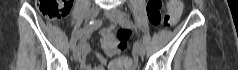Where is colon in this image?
Here are the masks:
<instances>
[{"label":"colon","instance_id":"colon-1","mask_svg":"<svg viewBox=\"0 0 238 70\" xmlns=\"http://www.w3.org/2000/svg\"><path fill=\"white\" fill-rule=\"evenodd\" d=\"M38 7L41 13L50 20H57L65 17L71 8V2L68 0H39ZM163 1L150 0L147 4V14L149 21L154 26L163 25L172 27L178 20L183 8L180 0H170L167 2V13L163 16L161 10ZM118 39V47L124 49L127 45L129 31L117 30L114 32ZM131 60L128 57H121L113 60L109 65V70H129L131 69Z\"/></svg>","mask_w":238,"mask_h":70}]
</instances>
